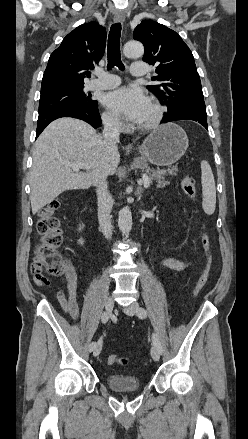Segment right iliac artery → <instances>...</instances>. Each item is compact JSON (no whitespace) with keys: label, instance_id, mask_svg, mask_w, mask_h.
<instances>
[{"label":"right iliac artery","instance_id":"obj_1","mask_svg":"<svg viewBox=\"0 0 248 439\" xmlns=\"http://www.w3.org/2000/svg\"><path fill=\"white\" fill-rule=\"evenodd\" d=\"M108 319H109V316L106 313H103L102 317H101V321L105 324V323H107ZM95 346H96V342H92L89 345V351H92L95 348Z\"/></svg>","mask_w":248,"mask_h":439}]
</instances>
